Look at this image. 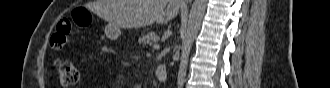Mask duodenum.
Returning a JSON list of instances; mask_svg holds the SVG:
<instances>
[{
    "mask_svg": "<svg viewBox=\"0 0 330 88\" xmlns=\"http://www.w3.org/2000/svg\"><path fill=\"white\" fill-rule=\"evenodd\" d=\"M166 67L164 65H159L155 68V76L159 81H164L166 79Z\"/></svg>",
    "mask_w": 330,
    "mask_h": 88,
    "instance_id": "duodenum-1",
    "label": "duodenum"
}]
</instances>
